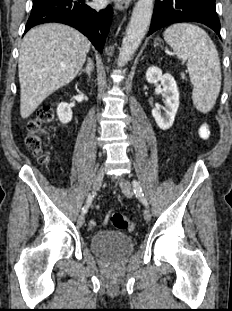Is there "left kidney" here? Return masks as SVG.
<instances>
[{
  "instance_id": "1",
  "label": "left kidney",
  "mask_w": 232,
  "mask_h": 311,
  "mask_svg": "<svg viewBox=\"0 0 232 311\" xmlns=\"http://www.w3.org/2000/svg\"><path fill=\"white\" fill-rule=\"evenodd\" d=\"M146 80L148 83L161 82L164 107L156 105L152 109V115L162 130L169 129L174 122L175 115L179 107V91L177 83L172 75L162 74V70L156 66H151L146 71ZM161 109L165 112L162 113Z\"/></svg>"
}]
</instances>
